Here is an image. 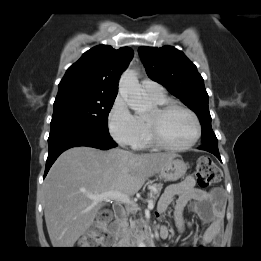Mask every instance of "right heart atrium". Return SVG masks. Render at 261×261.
Returning a JSON list of instances; mask_svg holds the SVG:
<instances>
[{
	"label": "right heart atrium",
	"instance_id": "d8ad5b80",
	"mask_svg": "<svg viewBox=\"0 0 261 261\" xmlns=\"http://www.w3.org/2000/svg\"><path fill=\"white\" fill-rule=\"evenodd\" d=\"M108 128L113 139L122 146L139 147L142 140V124L121 96L115 98L109 111Z\"/></svg>",
	"mask_w": 261,
	"mask_h": 261
}]
</instances>
